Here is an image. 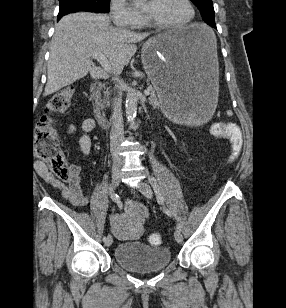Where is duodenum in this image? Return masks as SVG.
<instances>
[{"label": "duodenum", "mask_w": 286, "mask_h": 308, "mask_svg": "<svg viewBox=\"0 0 286 308\" xmlns=\"http://www.w3.org/2000/svg\"><path fill=\"white\" fill-rule=\"evenodd\" d=\"M102 90V83L101 81H94L90 87V97L93 105V110L96 116L97 121L101 125H106L107 120L105 118V115L101 109L100 103H99V93Z\"/></svg>", "instance_id": "410a0bca"}]
</instances>
